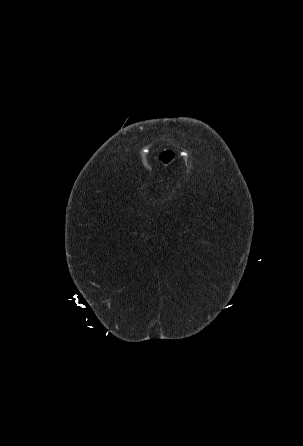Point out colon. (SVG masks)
Listing matches in <instances>:
<instances>
[{"mask_svg": "<svg viewBox=\"0 0 303 446\" xmlns=\"http://www.w3.org/2000/svg\"><path fill=\"white\" fill-rule=\"evenodd\" d=\"M173 159H174V153L171 151L163 152L160 155V160L164 166L171 163Z\"/></svg>", "mask_w": 303, "mask_h": 446, "instance_id": "obj_1", "label": "colon"}]
</instances>
